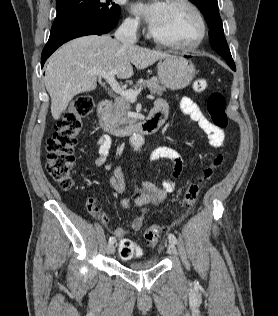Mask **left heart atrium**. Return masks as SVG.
<instances>
[{"label":"left heart atrium","mask_w":278,"mask_h":316,"mask_svg":"<svg viewBox=\"0 0 278 316\" xmlns=\"http://www.w3.org/2000/svg\"><path fill=\"white\" fill-rule=\"evenodd\" d=\"M166 6L167 3L160 0L140 1L132 5V11L144 18L152 30L162 18Z\"/></svg>","instance_id":"left-heart-atrium-1"}]
</instances>
